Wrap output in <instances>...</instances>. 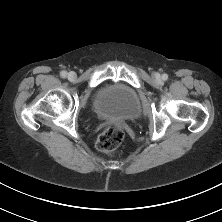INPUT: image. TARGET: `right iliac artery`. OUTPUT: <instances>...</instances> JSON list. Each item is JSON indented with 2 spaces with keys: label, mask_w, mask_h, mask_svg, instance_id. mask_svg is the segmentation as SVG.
Here are the masks:
<instances>
[{
  "label": "right iliac artery",
  "mask_w": 222,
  "mask_h": 222,
  "mask_svg": "<svg viewBox=\"0 0 222 222\" xmlns=\"http://www.w3.org/2000/svg\"><path fill=\"white\" fill-rule=\"evenodd\" d=\"M60 75H61L62 78H65L67 76V72L66 71H62L60 73Z\"/></svg>",
  "instance_id": "1"
}]
</instances>
